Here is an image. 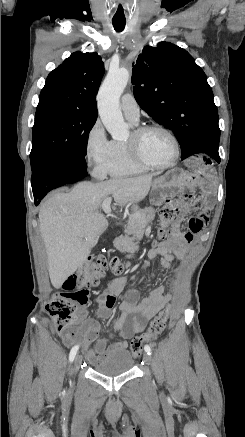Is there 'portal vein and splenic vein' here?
<instances>
[{
    "label": "portal vein and splenic vein",
    "instance_id": "obj_1",
    "mask_svg": "<svg viewBox=\"0 0 245 437\" xmlns=\"http://www.w3.org/2000/svg\"><path fill=\"white\" fill-rule=\"evenodd\" d=\"M111 201L112 198L108 197L102 203V209L108 216L111 215V208H110Z\"/></svg>",
    "mask_w": 245,
    "mask_h": 437
}]
</instances>
